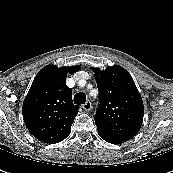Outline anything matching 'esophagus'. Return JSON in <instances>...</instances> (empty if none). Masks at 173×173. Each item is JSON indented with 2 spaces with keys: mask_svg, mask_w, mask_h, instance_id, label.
<instances>
[{
  "mask_svg": "<svg viewBox=\"0 0 173 173\" xmlns=\"http://www.w3.org/2000/svg\"><path fill=\"white\" fill-rule=\"evenodd\" d=\"M91 107H92V105H91L90 101H87L82 105V108L86 111H89L91 109Z\"/></svg>",
  "mask_w": 173,
  "mask_h": 173,
  "instance_id": "obj_1",
  "label": "esophagus"
}]
</instances>
